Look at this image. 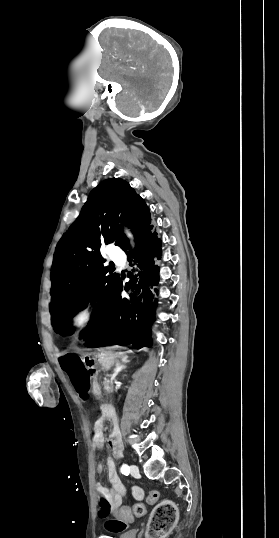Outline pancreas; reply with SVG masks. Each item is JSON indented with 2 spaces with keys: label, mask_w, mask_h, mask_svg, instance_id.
<instances>
[{
  "label": "pancreas",
  "mask_w": 279,
  "mask_h": 538,
  "mask_svg": "<svg viewBox=\"0 0 279 538\" xmlns=\"http://www.w3.org/2000/svg\"><path fill=\"white\" fill-rule=\"evenodd\" d=\"M103 392H113V381L111 379L104 380Z\"/></svg>",
  "instance_id": "1"
}]
</instances>
